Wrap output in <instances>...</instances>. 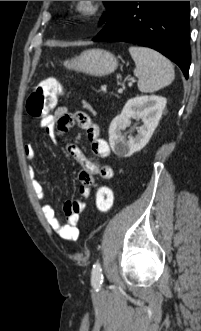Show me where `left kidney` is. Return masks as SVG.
I'll return each instance as SVG.
<instances>
[{
	"mask_svg": "<svg viewBox=\"0 0 201 331\" xmlns=\"http://www.w3.org/2000/svg\"><path fill=\"white\" fill-rule=\"evenodd\" d=\"M166 102V98L155 95L137 96L128 100L121 114L113 119L109 127V143L113 152L120 157H130L144 148L158 126ZM130 118L141 119L143 125L137 129L135 137L126 140L122 131L130 125Z\"/></svg>",
	"mask_w": 201,
	"mask_h": 331,
	"instance_id": "left-kidney-1",
	"label": "left kidney"
}]
</instances>
